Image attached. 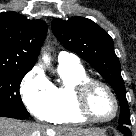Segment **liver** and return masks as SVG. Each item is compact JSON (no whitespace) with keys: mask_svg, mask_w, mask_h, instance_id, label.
I'll return each mask as SVG.
<instances>
[{"mask_svg":"<svg viewBox=\"0 0 136 136\" xmlns=\"http://www.w3.org/2000/svg\"><path fill=\"white\" fill-rule=\"evenodd\" d=\"M105 136L100 129H82L58 127L51 129L48 126L19 122L13 119L0 117V136Z\"/></svg>","mask_w":136,"mask_h":136,"instance_id":"obj_1","label":"liver"}]
</instances>
